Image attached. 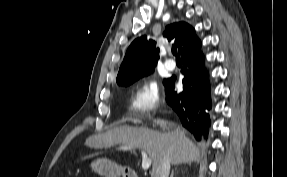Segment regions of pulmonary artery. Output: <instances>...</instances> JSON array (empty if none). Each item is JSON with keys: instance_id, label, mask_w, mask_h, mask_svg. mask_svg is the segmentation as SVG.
I'll return each mask as SVG.
<instances>
[{"instance_id": "obj_1", "label": "pulmonary artery", "mask_w": 287, "mask_h": 177, "mask_svg": "<svg viewBox=\"0 0 287 177\" xmlns=\"http://www.w3.org/2000/svg\"><path fill=\"white\" fill-rule=\"evenodd\" d=\"M165 67H166L167 70L173 71L175 69V67H176V64H175V62L173 60L170 59V60L166 61Z\"/></svg>"}]
</instances>
